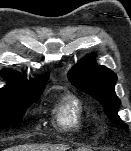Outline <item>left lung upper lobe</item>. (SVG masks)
Instances as JSON below:
<instances>
[{
	"label": "left lung upper lobe",
	"instance_id": "5c2ea615",
	"mask_svg": "<svg viewBox=\"0 0 131 151\" xmlns=\"http://www.w3.org/2000/svg\"><path fill=\"white\" fill-rule=\"evenodd\" d=\"M70 82L80 91L86 92L100 102L110 120L127 127L119 118L117 111L120 100L114 92L117 76L110 69L96 65L90 55L76 64L68 74Z\"/></svg>",
	"mask_w": 131,
	"mask_h": 151
}]
</instances>
